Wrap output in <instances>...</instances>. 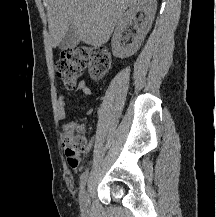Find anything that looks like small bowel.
I'll return each instance as SVG.
<instances>
[{
  "label": "small bowel",
  "instance_id": "1",
  "mask_svg": "<svg viewBox=\"0 0 216 217\" xmlns=\"http://www.w3.org/2000/svg\"><path fill=\"white\" fill-rule=\"evenodd\" d=\"M70 91H77V92H79L83 95H86V96H92L93 95L92 89L90 88L88 83L85 81L79 82L74 88L70 89ZM67 96H68V93H64V94L60 95L58 98L57 105H58V117H59V119H64L66 117V99H67ZM86 113L91 114L92 108L87 107ZM82 130L86 131L85 128H82ZM61 137H62V140L64 141V137H65V130L64 129H63Z\"/></svg>",
  "mask_w": 216,
  "mask_h": 217
}]
</instances>
